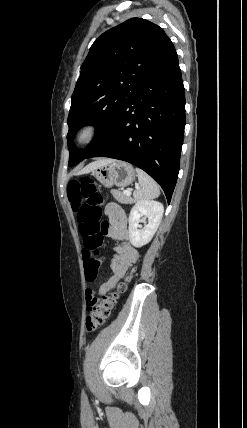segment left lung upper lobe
Instances as JSON below:
<instances>
[{"label":"left lung upper lobe","instance_id":"left-lung-upper-lobe-1","mask_svg":"<svg viewBox=\"0 0 247 428\" xmlns=\"http://www.w3.org/2000/svg\"><path fill=\"white\" fill-rule=\"evenodd\" d=\"M174 51L163 29L141 18L129 19L95 40L72 94L67 121L69 166L87 157L125 101ZM86 124L98 126L99 137L93 147L75 149L74 135Z\"/></svg>","mask_w":247,"mask_h":428}]
</instances>
